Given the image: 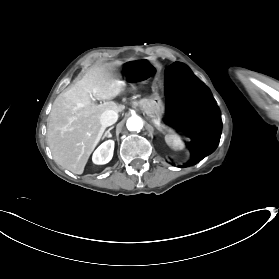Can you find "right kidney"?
Returning <instances> with one entry per match:
<instances>
[{
  "instance_id": "right-kidney-1",
  "label": "right kidney",
  "mask_w": 279,
  "mask_h": 279,
  "mask_svg": "<svg viewBox=\"0 0 279 279\" xmlns=\"http://www.w3.org/2000/svg\"><path fill=\"white\" fill-rule=\"evenodd\" d=\"M114 141L104 142L93 154V162L96 164L107 163L113 155Z\"/></svg>"
}]
</instances>
